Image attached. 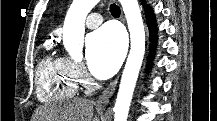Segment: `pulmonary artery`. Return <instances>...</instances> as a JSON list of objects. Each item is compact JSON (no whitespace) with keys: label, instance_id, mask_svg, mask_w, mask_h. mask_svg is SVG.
Masks as SVG:
<instances>
[{"label":"pulmonary artery","instance_id":"obj_1","mask_svg":"<svg viewBox=\"0 0 217 121\" xmlns=\"http://www.w3.org/2000/svg\"><path fill=\"white\" fill-rule=\"evenodd\" d=\"M103 21L102 16L99 13H91L86 19V25L90 29L98 27Z\"/></svg>","mask_w":217,"mask_h":121}]
</instances>
